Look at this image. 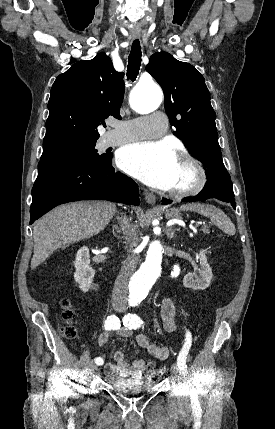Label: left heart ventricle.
<instances>
[{
  "instance_id": "left-heart-ventricle-1",
  "label": "left heart ventricle",
  "mask_w": 275,
  "mask_h": 429,
  "mask_svg": "<svg viewBox=\"0 0 275 429\" xmlns=\"http://www.w3.org/2000/svg\"><path fill=\"white\" fill-rule=\"evenodd\" d=\"M194 180V173L193 170L182 161L178 160L175 175H174V181L172 184V187L170 189H182L186 188Z\"/></svg>"
}]
</instances>
